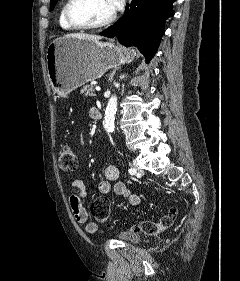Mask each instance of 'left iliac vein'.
Masks as SVG:
<instances>
[{
    "mask_svg": "<svg viewBox=\"0 0 240 281\" xmlns=\"http://www.w3.org/2000/svg\"><path fill=\"white\" fill-rule=\"evenodd\" d=\"M133 165L135 167V169L137 170V175L141 176L143 175V170L138 166V164L134 161Z\"/></svg>",
    "mask_w": 240,
    "mask_h": 281,
    "instance_id": "left-iliac-vein-1",
    "label": "left iliac vein"
}]
</instances>
